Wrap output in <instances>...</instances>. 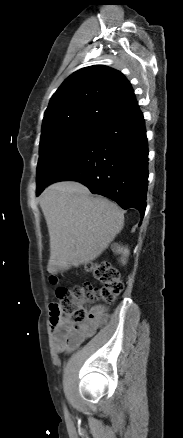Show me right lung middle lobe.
<instances>
[{
  "label": "right lung middle lobe",
  "mask_w": 183,
  "mask_h": 438,
  "mask_svg": "<svg viewBox=\"0 0 183 438\" xmlns=\"http://www.w3.org/2000/svg\"><path fill=\"white\" fill-rule=\"evenodd\" d=\"M96 126L77 125L41 136L37 166V191L45 187L88 143Z\"/></svg>",
  "instance_id": "1"
}]
</instances>
